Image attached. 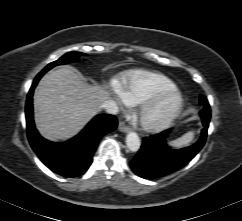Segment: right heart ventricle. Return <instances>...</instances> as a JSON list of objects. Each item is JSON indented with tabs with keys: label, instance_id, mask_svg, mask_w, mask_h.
<instances>
[{
	"label": "right heart ventricle",
	"instance_id": "e07e8e85",
	"mask_svg": "<svg viewBox=\"0 0 242 221\" xmlns=\"http://www.w3.org/2000/svg\"><path fill=\"white\" fill-rule=\"evenodd\" d=\"M176 87L168 77L146 71H134L117 84L121 96L131 104H141L156 94Z\"/></svg>",
	"mask_w": 242,
	"mask_h": 221
}]
</instances>
